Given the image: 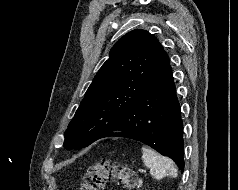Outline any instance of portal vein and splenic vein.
I'll return each mask as SVG.
<instances>
[{"label": "portal vein and splenic vein", "mask_w": 238, "mask_h": 190, "mask_svg": "<svg viewBox=\"0 0 238 190\" xmlns=\"http://www.w3.org/2000/svg\"><path fill=\"white\" fill-rule=\"evenodd\" d=\"M139 171H140V172H143L144 170H143V169H140Z\"/></svg>", "instance_id": "18ae733b"}]
</instances>
